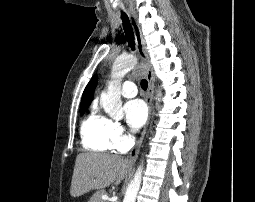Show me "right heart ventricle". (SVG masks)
Returning <instances> with one entry per match:
<instances>
[{
	"instance_id": "e07e8e85",
	"label": "right heart ventricle",
	"mask_w": 255,
	"mask_h": 202,
	"mask_svg": "<svg viewBox=\"0 0 255 202\" xmlns=\"http://www.w3.org/2000/svg\"><path fill=\"white\" fill-rule=\"evenodd\" d=\"M111 126L110 119L93 109L81 125V136L85 148L95 152L112 149Z\"/></svg>"
}]
</instances>
